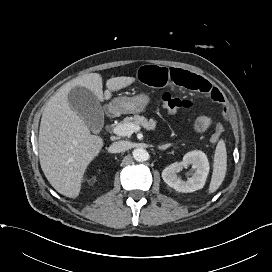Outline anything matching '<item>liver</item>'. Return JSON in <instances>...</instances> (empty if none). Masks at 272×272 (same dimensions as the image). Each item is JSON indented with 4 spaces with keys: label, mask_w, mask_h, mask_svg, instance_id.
Instances as JSON below:
<instances>
[{
    "label": "liver",
    "mask_w": 272,
    "mask_h": 272,
    "mask_svg": "<svg viewBox=\"0 0 272 272\" xmlns=\"http://www.w3.org/2000/svg\"><path fill=\"white\" fill-rule=\"evenodd\" d=\"M134 77H114L106 81L103 93L102 77L90 73L62 86L47 103L39 130V159L44 175L60 194L78 197L83 175L91 161L100 153L103 139L92 135L87 124L74 112L68 94L76 86L89 89L98 100L111 98V92L135 82Z\"/></svg>",
    "instance_id": "1"
}]
</instances>
